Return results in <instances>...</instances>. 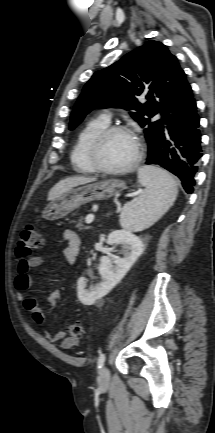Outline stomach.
<instances>
[{
    "label": "stomach",
    "instance_id": "0dacf381",
    "mask_svg": "<svg viewBox=\"0 0 215 433\" xmlns=\"http://www.w3.org/2000/svg\"><path fill=\"white\" fill-rule=\"evenodd\" d=\"M125 188L122 181L105 180L70 189L53 200L43 211L42 216L47 220L61 219L85 203L108 199Z\"/></svg>",
    "mask_w": 215,
    "mask_h": 433
}]
</instances>
